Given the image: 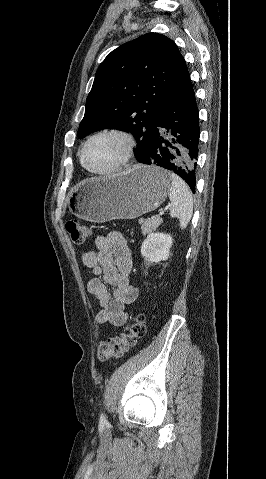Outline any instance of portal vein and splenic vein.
Listing matches in <instances>:
<instances>
[{
	"instance_id": "18ae733b",
	"label": "portal vein and splenic vein",
	"mask_w": 266,
	"mask_h": 479,
	"mask_svg": "<svg viewBox=\"0 0 266 479\" xmlns=\"http://www.w3.org/2000/svg\"><path fill=\"white\" fill-rule=\"evenodd\" d=\"M162 215H164V211H163V210H161V211L159 212V216H162Z\"/></svg>"
}]
</instances>
